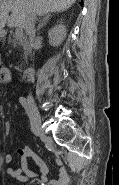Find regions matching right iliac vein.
Wrapping results in <instances>:
<instances>
[{
    "label": "right iliac vein",
    "instance_id": "obj_1",
    "mask_svg": "<svg viewBox=\"0 0 119 185\" xmlns=\"http://www.w3.org/2000/svg\"><path fill=\"white\" fill-rule=\"evenodd\" d=\"M31 107H32V111H33L32 113H37V118H36V121H35L36 123L33 124V125L36 126V128H37V130H38V133H39V136L41 137V139H42L43 141H45L46 138H47V136H46V134H45V132H44V129H43L42 126H41V116H40V114H39V111H38V109H37V107H36L34 101H31Z\"/></svg>",
    "mask_w": 119,
    "mask_h": 185
}]
</instances>
